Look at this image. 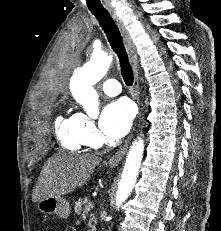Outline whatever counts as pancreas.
Wrapping results in <instances>:
<instances>
[{"label": "pancreas", "instance_id": "obj_1", "mask_svg": "<svg viewBox=\"0 0 221 231\" xmlns=\"http://www.w3.org/2000/svg\"><path fill=\"white\" fill-rule=\"evenodd\" d=\"M89 200L88 198H79L76 202H75V206H74V210L75 213L77 215H80L82 211H84L86 205L88 204ZM92 223H96V218L94 216V214H90V219L88 222V227L90 228L89 231H96V227L94 224Z\"/></svg>", "mask_w": 221, "mask_h": 231}]
</instances>
